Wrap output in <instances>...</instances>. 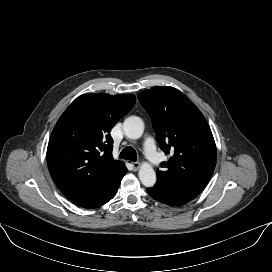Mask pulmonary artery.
Returning a JSON list of instances; mask_svg holds the SVG:
<instances>
[{
  "instance_id": "pulmonary-artery-1",
  "label": "pulmonary artery",
  "mask_w": 272,
  "mask_h": 272,
  "mask_svg": "<svg viewBox=\"0 0 272 272\" xmlns=\"http://www.w3.org/2000/svg\"><path fill=\"white\" fill-rule=\"evenodd\" d=\"M144 152L148 160L154 165L161 162V157L156 150L154 140L151 137L146 138L144 142Z\"/></svg>"
}]
</instances>
